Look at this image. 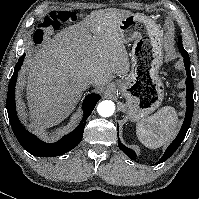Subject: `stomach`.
<instances>
[{"label": "stomach", "instance_id": "obj_1", "mask_svg": "<svg viewBox=\"0 0 199 199\" xmlns=\"http://www.w3.org/2000/svg\"><path fill=\"white\" fill-rule=\"evenodd\" d=\"M125 44L132 43L130 73L117 82L126 99L124 110L132 121H142L162 103L164 85L159 70L163 63V33L144 14L127 15L120 24Z\"/></svg>", "mask_w": 199, "mask_h": 199}]
</instances>
